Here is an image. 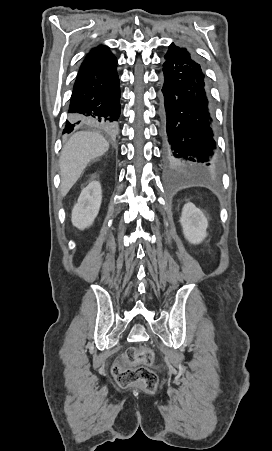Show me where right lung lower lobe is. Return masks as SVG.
<instances>
[{
  "label": "right lung lower lobe",
  "instance_id": "right-lung-lower-lobe-1",
  "mask_svg": "<svg viewBox=\"0 0 272 451\" xmlns=\"http://www.w3.org/2000/svg\"><path fill=\"white\" fill-rule=\"evenodd\" d=\"M112 52L86 57L82 62L70 99L63 133L76 127L94 126L115 133L120 121V88Z\"/></svg>",
  "mask_w": 272,
  "mask_h": 451
}]
</instances>
